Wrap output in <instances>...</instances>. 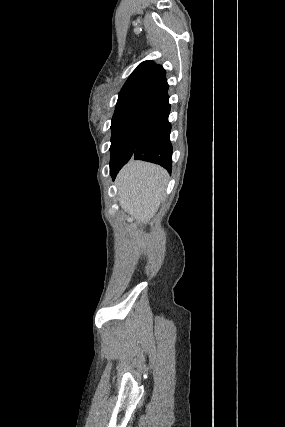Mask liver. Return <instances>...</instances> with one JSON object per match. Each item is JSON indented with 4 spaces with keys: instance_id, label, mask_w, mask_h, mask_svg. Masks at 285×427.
Masks as SVG:
<instances>
[{
    "instance_id": "6515ba94",
    "label": "liver",
    "mask_w": 285,
    "mask_h": 427,
    "mask_svg": "<svg viewBox=\"0 0 285 427\" xmlns=\"http://www.w3.org/2000/svg\"><path fill=\"white\" fill-rule=\"evenodd\" d=\"M168 173L162 167L142 162L129 161L116 178L121 208L135 218L140 225L137 248L145 246L143 226L155 215L168 182Z\"/></svg>"
}]
</instances>
